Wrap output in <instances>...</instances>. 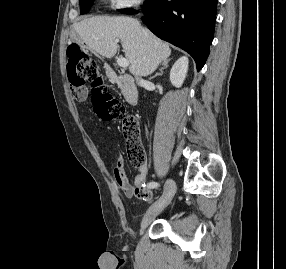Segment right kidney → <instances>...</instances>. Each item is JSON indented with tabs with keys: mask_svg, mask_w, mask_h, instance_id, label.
<instances>
[{
	"mask_svg": "<svg viewBox=\"0 0 286 269\" xmlns=\"http://www.w3.org/2000/svg\"><path fill=\"white\" fill-rule=\"evenodd\" d=\"M188 63V58L183 56L180 57L171 68L170 81L176 88H180L186 78Z\"/></svg>",
	"mask_w": 286,
	"mask_h": 269,
	"instance_id": "1",
	"label": "right kidney"
}]
</instances>
